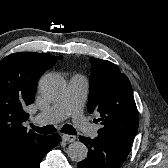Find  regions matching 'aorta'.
Returning a JSON list of instances; mask_svg holds the SVG:
<instances>
[{"instance_id":"obj_1","label":"aorta","mask_w":168,"mask_h":168,"mask_svg":"<svg viewBox=\"0 0 168 168\" xmlns=\"http://www.w3.org/2000/svg\"><path fill=\"white\" fill-rule=\"evenodd\" d=\"M64 79L55 73L44 75L39 82V91L47 101L59 99L65 91ZM68 157L75 162L86 159L88 148L81 142H73L67 148Z\"/></svg>"}]
</instances>
